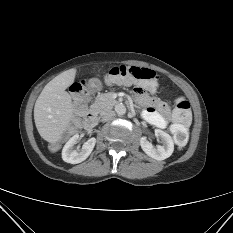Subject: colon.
<instances>
[{"label":"colon","mask_w":233,"mask_h":233,"mask_svg":"<svg viewBox=\"0 0 233 233\" xmlns=\"http://www.w3.org/2000/svg\"><path fill=\"white\" fill-rule=\"evenodd\" d=\"M108 83L130 85L137 84L140 88L155 92L158 87V77L154 71L136 66H116L111 68L107 75ZM72 96L74 99L75 116L69 133L75 132L82 117L88 116L86 112V101L88 91L85 83H76L72 86ZM191 111L190 104L183 98H178L175 102L173 111L172 134L175 144L178 147H183L187 144L189 133L186 126L190 123Z\"/></svg>","instance_id":"obj_1"}]
</instances>
